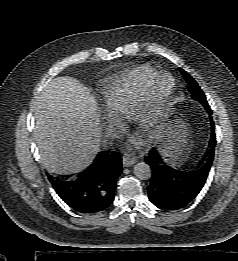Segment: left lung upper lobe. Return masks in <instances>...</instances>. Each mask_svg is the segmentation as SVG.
<instances>
[{
    "label": "left lung upper lobe",
    "instance_id": "left-lung-upper-lobe-1",
    "mask_svg": "<svg viewBox=\"0 0 238 261\" xmlns=\"http://www.w3.org/2000/svg\"><path fill=\"white\" fill-rule=\"evenodd\" d=\"M179 70L181 74L184 76L188 84L187 88L192 93L193 97L199 100L201 103H208L203 91L201 90L197 82L182 68H179Z\"/></svg>",
    "mask_w": 238,
    "mask_h": 261
}]
</instances>
